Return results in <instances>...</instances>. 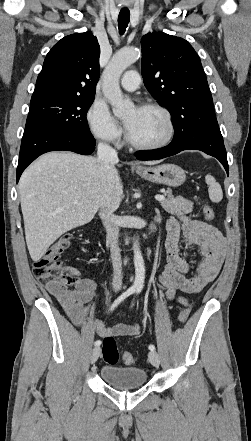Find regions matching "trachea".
I'll return each mask as SVG.
<instances>
[{"instance_id":"trachea-1","label":"trachea","mask_w":251,"mask_h":441,"mask_svg":"<svg viewBox=\"0 0 251 441\" xmlns=\"http://www.w3.org/2000/svg\"><path fill=\"white\" fill-rule=\"evenodd\" d=\"M129 21H130L129 9H127V8L121 9L119 16H118V29H119L120 35H123L125 33Z\"/></svg>"}]
</instances>
